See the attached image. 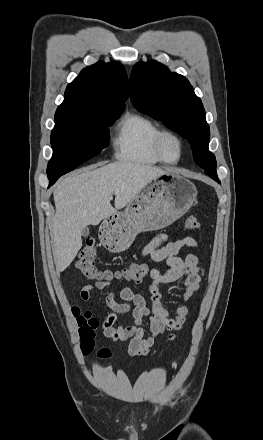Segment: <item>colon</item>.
<instances>
[{
  "label": "colon",
  "instance_id": "1",
  "mask_svg": "<svg viewBox=\"0 0 263 440\" xmlns=\"http://www.w3.org/2000/svg\"><path fill=\"white\" fill-rule=\"evenodd\" d=\"M185 227L189 230L200 228V222L194 216H189L185 220ZM97 247L94 239L88 238L79 254L76 263L77 269L85 279L109 281L114 278L129 283H139L148 274L149 267L145 263H133L121 270L112 273L108 270H101L97 266ZM77 324L79 326L80 348L83 355L89 354L94 348V339L98 322L92 318L88 312L80 313L75 311ZM110 355L108 349L103 348L99 351L101 358H107Z\"/></svg>",
  "mask_w": 263,
  "mask_h": 440
}]
</instances>
